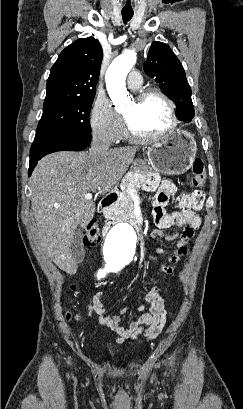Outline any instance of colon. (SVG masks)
I'll list each match as a JSON object with an SVG mask.
<instances>
[{
	"label": "colon",
	"mask_w": 243,
	"mask_h": 409,
	"mask_svg": "<svg viewBox=\"0 0 243 409\" xmlns=\"http://www.w3.org/2000/svg\"><path fill=\"white\" fill-rule=\"evenodd\" d=\"M206 179L207 174L203 161L200 159L195 160L192 165L191 184L194 187H202L204 186ZM83 241L87 247H94L100 241V233L94 222L89 223ZM67 318H71L70 313L67 314Z\"/></svg>",
	"instance_id": "5ec220e1"
}]
</instances>
